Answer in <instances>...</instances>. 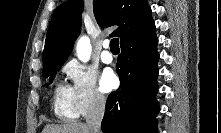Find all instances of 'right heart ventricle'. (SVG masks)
<instances>
[{
  "instance_id": "1",
  "label": "right heart ventricle",
  "mask_w": 221,
  "mask_h": 133,
  "mask_svg": "<svg viewBox=\"0 0 221 133\" xmlns=\"http://www.w3.org/2000/svg\"><path fill=\"white\" fill-rule=\"evenodd\" d=\"M53 109L55 115L62 120H75L78 113L75 108L71 89L63 84H58L53 93Z\"/></svg>"
}]
</instances>
